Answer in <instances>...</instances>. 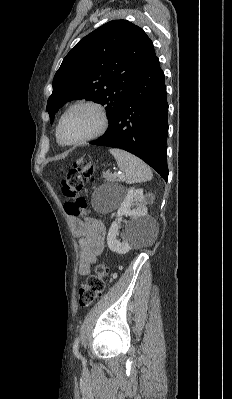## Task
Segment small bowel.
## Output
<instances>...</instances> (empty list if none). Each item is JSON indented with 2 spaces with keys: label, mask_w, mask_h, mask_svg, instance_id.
<instances>
[{
  "label": "small bowel",
  "mask_w": 232,
  "mask_h": 399,
  "mask_svg": "<svg viewBox=\"0 0 232 399\" xmlns=\"http://www.w3.org/2000/svg\"><path fill=\"white\" fill-rule=\"evenodd\" d=\"M75 235L82 245L78 262L79 274L86 278L102 247L103 224L99 220H87L75 228Z\"/></svg>",
  "instance_id": "1"
}]
</instances>
